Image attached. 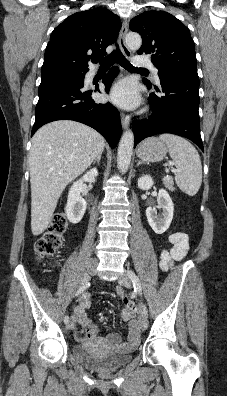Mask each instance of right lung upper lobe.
Listing matches in <instances>:
<instances>
[{"label": "right lung upper lobe", "mask_w": 227, "mask_h": 396, "mask_svg": "<svg viewBox=\"0 0 227 396\" xmlns=\"http://www.w3.org/2000/svg\"><path fill=\"white\" fill-rule=\"evenodd\" d=\"M121 28L120 18L106 8L77 12L57 26L46 47L41 71H88V61L106 55Z\"/></svg>", "instance_id": "1"}]
</instances>
